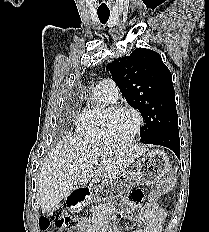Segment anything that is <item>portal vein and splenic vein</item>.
<instances>
[{
    "label": "portal vein and splenic vein",
    "instance_id": "1",
    "mask_svg": "<svg viewBox=\"0 0 209 232\" xmlns=\"http://www.w3.org/2000/svg\"><path fill=\"white\" fill-rule=\"evenodd\" d=\"M98 164V161H93V165H97Z\"/></svg>",
    "mask_w": 209,
    "mask_h": 232
}]
</instances>
